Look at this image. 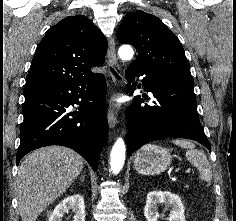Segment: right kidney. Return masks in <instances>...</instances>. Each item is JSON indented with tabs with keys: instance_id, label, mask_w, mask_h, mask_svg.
<instances>
[{
	"instance_id": "1",
	"label": "right kidney",
	"mask_w": 236,
	"mask_h": 221,
	"mask_svg": "<svg viewBox=\"0 0 236 221\" xmlns=\"http://www.w3.org/2000/svg\"><path fill=\"white\" fill-rule=\"evenodd\" d=\"M72 211L75 215L73 221H85V204L80 194L66 197L53 210L48 221H62L64 214Z\"/></svg>"
}]
</instances>
